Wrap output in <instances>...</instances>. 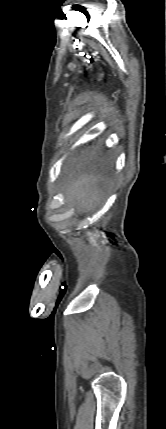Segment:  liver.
<instances>
[{
    "label": "liver",
    "mask_w": 166,
    "mask_h": 429,
    "mask_svg": "<svg viewBox=\"0 0 166 429\" xmlns=\"http://www.w3.org/2000/svg\"><path fill=\"white\" fill-rule=\"evenodd\" d=\"M66 195L78 209L89 212L100 205L104 198V184L94 174L79 176L72 180L65 189Z\"/></svg>",
    "instance_id": "liver-1"
}]
</instances>
